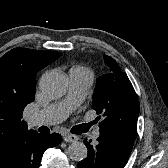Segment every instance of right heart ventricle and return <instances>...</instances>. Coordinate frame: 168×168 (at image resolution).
Wrapping results in <instances>:
<instances>
[{"mask_svg":"<svg viewBox=\"0 0 168 168\" xmlns=\"http://www.w3.org/2000/svg\"><path fill=\"white\" fill-rule=\"evenodd\" d=\"M73 69H83V70H87V69H85V68H83V67H74ZM87 71H89V70H87Z\"/></svg>","mask_w":168,"mask_h":168,"instance_id":"e07e8e85","label":"right heart ventricle"}]
</instances>
